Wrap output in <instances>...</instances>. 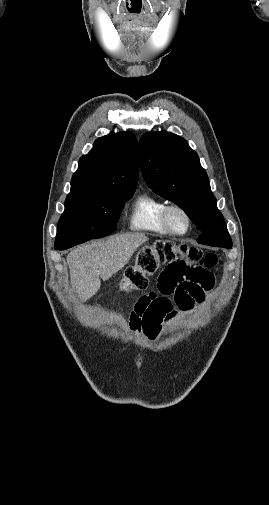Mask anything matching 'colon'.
Returning a JSON list of instances; mask_svg holds the SVG:
<instances>
[{
	"instance_id": "5ec220e1",
	"label": "colon",
	"mask_w": 269,
	"mask_h": 505,
	"mask_svg": "<svg viewBox=\"0 0 269 505\" xmlns=\"http://www.w3.org/2000/svg\"><path fill=\"white\" fill-rule=\"evenodd\" d=\"M170 259L192 260L194 266L200 264L211 269L218 262V256L214 253L204 254L200 249L188 245L175 246L171 243L157 242L140 249L135 264L125 271L121 283L123 290L131 292L145 289L148 285V276L155 273L161 264H168Z\"/></svg>"
}]
</instances>
